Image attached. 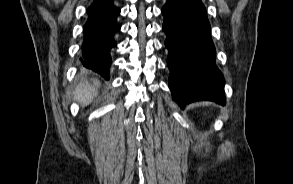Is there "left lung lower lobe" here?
<instances>
[{
	"label": "left lung lower lobe",
	"mask_w": 293,
	"mask_h": 184,
	"mask_svg": "<svg viewBox=\"0 0 293 184\" xmlns=\"http://www.w3.org/2000/svg\"><path fill=\"white\" fill-rule=\"evenodd\" d=\"M161 11L173 99L182 109L199 100L225 104L224 78L215 64V47L202 1L166 0Z\"/></svg>",
	"instance_id": "1"
}]
</instances>
